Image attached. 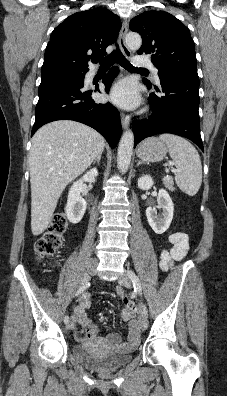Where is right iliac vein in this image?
<instances>
[{
  "label": "right iliac vein",
  "instance_id": "right-iliac-vein-1",
  "mask_svg": "<svg viewBox=\"0 0 227 396\" xmlns=\"http://www.w3.org/2000/svg\"><path fill=\"white\" fill-rule=\"evenodd\" d=\"M96 274V263L92 262L88 267L87 271L83 274L81 279V284H86L90 281L91 277ZM74 327V317L67 323L66 329L72 330Z\"/></svg>",
  "mask_w": 227,
  "mask_h": 396
}]
</instances>
